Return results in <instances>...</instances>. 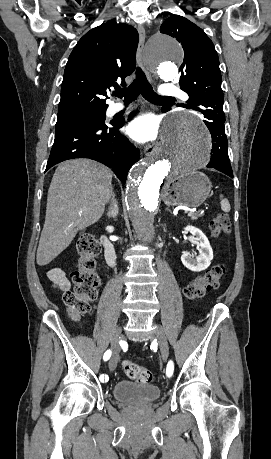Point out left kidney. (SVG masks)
Here are the masks:
<instances>
[{"label": "left kidney", "mask_w": 271, "mask_h": 459, "mask_svg": "<svg viewBox=\"0 0 271 459\" xmlns=\"http://www.w3.org/2000/svg\"><path fill=\"white\" fill-rule=\"evenodd\" d=\"M186 231H190L192 235H196L199 243V255H189V253H183L181 255V261L185 267L192 269V271H202V269H207L208 265L213 259L212 247L203 231L194 226H186Z\"/></svg>", "instance_id": "obj_1"}]
</instances>
